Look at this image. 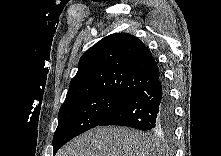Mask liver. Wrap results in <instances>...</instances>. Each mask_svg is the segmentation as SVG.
<instances>
[{
    "instance_id": "1",
    "label": "liver",
    "mask_w": 221,
    "mask_h": 156,
    "mask_svg": "<svg viewBox=\"0 0 221 156\" xmlns=\"http://www.w3.org/2000/svg\"><path fill=\"white\" fill-rule=\"evenodd\" d=\"M155 135L128 127H96L76 137L57 156H161Z\"/></svg>"
}]
</instances>
